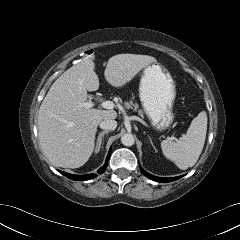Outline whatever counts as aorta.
<instances>
[{"label": "aorta", "instance_id": "obj_1", "mask_svg": "<svg viewBox=\"0 0 240 240\" xmlns=\"http://www.w3.org/2000/svg\"><path fill=\"white\" fill-rule=\"evenodd\" d=\"M134 136L130 133H126L121 137V143L124 146H132L134 144Z\"/></svg>", "mask_w": 240, "mask_h": 240}]
</instances>
